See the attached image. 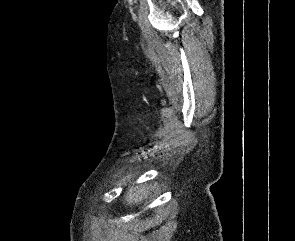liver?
<instances>
[{"instance_id":"liver-1","label":"liver","mask_w":295,"mask_h":241,"mask_svg":"<svg viewBox=\"0 0 295 241\" xmlns=\"http://www.w3.org/2000/svg\"><path fill=\"white\" fill-rule=\"evenodd\" d=\"M148 196V191L145 187L142 188H132L129 190L127 195L125 196V201L128 205H135L140 204L144 199H146Z\"/></svg>"}]
</instances>
